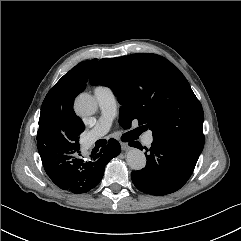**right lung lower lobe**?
<instances>
[{
    "label": "right lung lower lobe",
    "mask_w": 241,
    "mask_h": 241,
    "mask_svg": "<svg viewBox=\"0 0 241 241\" xmlns=\"http://www.w3.org/2000/svg\"><path fill=\"white\" fill-rule=\"evenodd\" d=\"M38 151L50 179L59 188L79 194L99 184L106 164L120 154L121 147L117 140L110 139L108 145L92 154L90 161L80 158V147H62L53 151L44 146Z\"/></svg>",
    "instance_id": "right-lung-lower-lobe-1"
}]
</instances>
